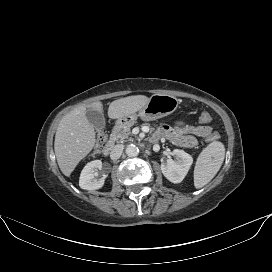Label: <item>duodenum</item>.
I'll use <instances>...</instances> for the list:
<instances>
[{
    "label": "duodenum",
    "instance_id": "duodenum-1",
    "mask_svg": "<svg viewBox=\"0 0 272 272\" xmlns=\"http://www.w3.org/2000/svg\"><path fill=\"white\" fill-rule=\"evenodd\" d=\"M122 126H123V121L119 120L116 122L114 126V130H113L114 134L109 138L108 142L103 148L104 155H108L111 152L116 141V133L122 128Z\"/></svg>",
    "mask_w": 272,
    "mask_h": 272
}]
</instances>
